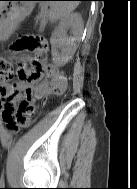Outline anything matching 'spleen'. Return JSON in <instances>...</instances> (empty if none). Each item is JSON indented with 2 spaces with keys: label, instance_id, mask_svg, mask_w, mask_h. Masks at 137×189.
I'll return each instance as SVG.
<instances>
[{
  "label": "spleen",
  "instance_id": "obj_1",
  "mask_svg": "<svg viewBox=\"0 0 137 189\" xmlns=\"http://www.w3.org/2000/svg\"><path fill=\"white\" fill-rule=\"evenodd\" d=\"M51 5L52 8L59 13H63L66 10V8H73V5L68 2H55Z\"/></svg>",
  "mask_w": 137,
  "mask_h": 189
}]
</instances>
